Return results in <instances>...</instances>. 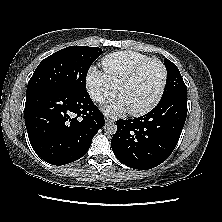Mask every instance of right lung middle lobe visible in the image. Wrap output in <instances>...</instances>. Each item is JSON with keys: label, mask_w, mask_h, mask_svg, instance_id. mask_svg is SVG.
<instances>
[{"label": "right lung middle lobe", "mask_w": 222, "mask_h": 222, "mask_svg": "<svg viewBox=\"0 0 222 222\" xmlns=\"http://www.w3.org/2000/svg\"><path fill=\"white\" fill-rule=\"evenodd\" d=\"M101 54V48L87 46H70L53 53L36 68L28 82L26 95L45 88L87 92V72Z\"/></svg>", "instance_id": "obj_1"}]
</instances>
